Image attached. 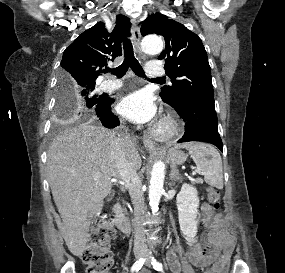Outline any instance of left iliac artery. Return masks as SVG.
Masks as SVG:
<instances>
[{
    "label": "left iliac artery",
    "instance_id": "44dca946",
    "mask_svg": "<svg viewBox=\"0 0 285 273\" xmlns=\"http://www.w3.org/2000/svg\"><path fill=\"white\" fill-rule=\"evenodd\" d=\"M153 268L157 271H162V264L158 262L154 257H152V262H151Z\"/></svg>",
    "mask_w": 285,
    "mask_h": 273
}]
</instances>
